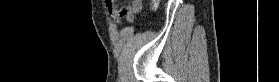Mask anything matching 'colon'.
<instances>
[{"mask_svg":"<svg viewBox=\"0 0 279 82\" xmlns=\"http://www.w3.org/2000/svg\"><path fill=\"white\" fill-rule=\"evenodd\" d=\"M111 1H113V0H111ZM113 2H116V1H113ZM133 2L136 7H140L142 5L141 0H134ZM148 2L150 3L151 7H156L160 1L159 0H150Z\"/></svg>","mask_w":279,"mask_h":82,"instance_id":"obj_1","label":"colon"}]
</instances>
